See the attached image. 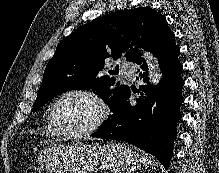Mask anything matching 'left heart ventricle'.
Instances as JSON below:
<instances>
[{"mask_svg": "<svg viewBox=\"0 0 219 173\" xmlns=\"http://www.w3.org/2000/svg\"><path fill=\"white\" fill-rule=\"evenodd\" d=\"M98 114L99 108L96 103L82 95L64 98L56 110L59 124L68 131H78L89 126Z\"/></svg>", "mask_w": 219, "mask_h": 173, "instance_id": "b2bd125f", "label": "left heart ventricle"}]
</instances>
